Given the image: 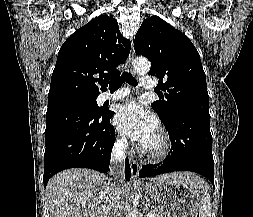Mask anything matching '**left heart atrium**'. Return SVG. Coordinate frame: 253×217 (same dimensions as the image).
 Returning <instances> with one entry per match:
<instances>
[{"instance_id":"obj_1","label":"left heart atrium","mask_w":253,"mask_h":217,"mask_svg":"<svg viewBox=\"0 0 253 217\" xmlns=\"http://www.w3.org/2000/svg\"><path fill=\"white\" fill-rule=\"evenodd\" d=\"M114 124L122 134L142 145H146L158 129L157 118L135 101H129L118 108Z\"/></svg>"}]
</instances>
